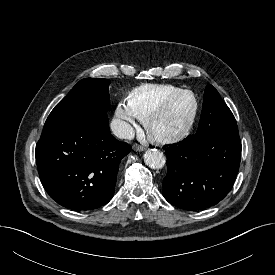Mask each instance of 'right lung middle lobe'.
<instances>
[{
	"label": "right lung middle lobe",
	"instance_id": "dd1d6c3e",
	"mask_svg": "<svg viewBox=\"0 0 275 275\" xmlns=\"http://www.w3.org/2000/svg\"><path fill=\"white\" fill-rule=\"evenodd\" d=\"M108 79L80 80L48 116L44 129L86 124L110 108Z\"/></svg>",
	"mask_w": 275,
	"mask_h": 275
}]
</instances>
